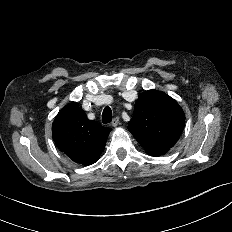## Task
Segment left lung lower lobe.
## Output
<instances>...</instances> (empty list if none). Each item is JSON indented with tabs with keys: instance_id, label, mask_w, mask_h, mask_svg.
<instances>
[{
	"instance_id": "0a47b994",
	"label": "left lung lower lobe",
	"mask_w": 232,
	"mask_h": 232,
	"mask_svg": "<svg viewBox=\"0 0 232 232\" xmlns=\"http://www.w3.org/2000/svg\"><path fill=\"white\" fill-rule=\"evenodd\" d=\"M170 150V148H163L159 150H153V151H146L151 156H161L165 153H167Z\"/></svg>"
}]
</instances>
